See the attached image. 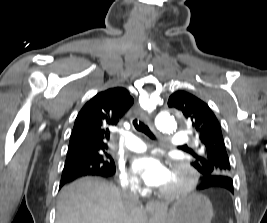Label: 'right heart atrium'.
<instances>
[{
    "instance_id": "1",
    "label": "right heart atrium",
    "mask_w": 267,
    "mask_h": 223,
    "mask_svg": "<svg viewBox=\"0 0 267 223\" xmlns=\"http://www.w3.org/2000/svg\"><path fill=\"white\" fill-rule=\"evenodd\" d=\"M118 180L121 186L130 193L136 194L140 191L138 181L123 168L118 170Z\"/></svg>"
}]
</instances>
